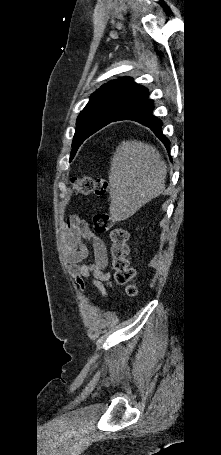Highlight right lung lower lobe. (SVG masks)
<instances>
[{
  "label": "right lung lower lobe",
  "mask_w": 221,
  "mask_h": 455,
  "mask_svg": "<svg viewBox=\"0 0 221 455\" xmlns=\"http://www.w3.org/2000/svg\"><path fill=\"white\" fill-rule=\"evenodd\" d=\"M153 109H154L153 101L145 99L141 103L125 111L121 116H119L114 121L133 120L141 123L142 125L147 126L155 133V135L164 143V145L168 149L170 142L162 134L161 131L162 122L161 120L153 116L152 114Z\"/></svg>",
  "instance_id": "right-lung-lower-lobe-1"
}]
</instances>
